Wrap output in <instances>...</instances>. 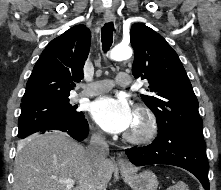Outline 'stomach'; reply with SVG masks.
<instances>
[{
    "instance_id": "stomach-1",
    "label": "stomach",
    "mask_w": 221,
    "mask_h": 190,
    "mask_svg": "<svg viewBox=\"0 0 221 190\" xmlns=\"http://www.w3.org/2000/svg\"><path fill=\"white\" fill-rule=\"evenodd\" d=\"M121 174L124 181L133 190H157L158 179L152 171L146 170L136 173L131 170L121 169Z\"/></svg>"
}]
</instances>
